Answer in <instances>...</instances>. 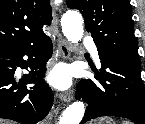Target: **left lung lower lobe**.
<instances>
[{"label":"left lung lower lobe","instance_id":"1","mask_svg":"<svg viewBox=\"0 0 145 124\" xmlns=\"http://www.w3.org/2000/svg\"><path fill=\"white\" fill-rule=\"evenodd\" d=\"M102 68L95 79L77 85L76 98L88 104L81 124L100 116L127 118L145 124V88L141 67L110 58H100Z\"/></svg>","mask_w":145,"mask_h":124}]
</instances>
